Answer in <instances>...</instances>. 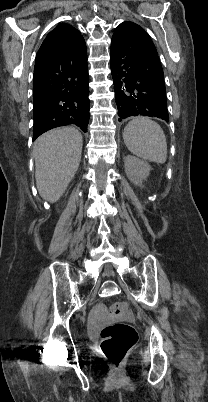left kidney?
I'll use <instances>...</instances> for the list:
<instances>
[{"label": "left kidney", "mask_w": 208, "mask_h": 402, "mask_svg": "<svg viewBox=\"0 0 208 402\" xmlns=\"http://www.w3.org/2000/svg\"><path fill=\"white\" fill-rule=\"evenodd\" d=\"M124 168L127 178H129L133 184H136V186H142L143 180H146L151 170L148 162L139 160V158H135V156H126V158H124Z\"/></svg>", "instance_id": "left-kidney-1"}]
</instances>
